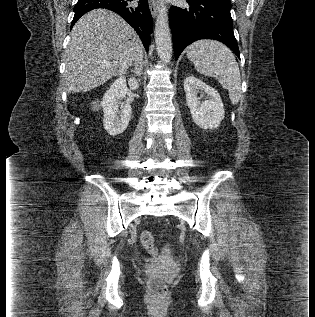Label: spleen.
<instances>
[{
	"label": "spleen",
	"instance_id": "spleen-1",
	"mask_svg": "<svg viewBox=\"0 0 315 317\" xmlns=\"http://www.w3.org/2000/svg\"><path fill=\"white\" fill-rule=\"evenodd\" d=\"M187 57L202 75L215 77L229 92L232 104L236 105L241 95V75L238 63L223 43L213 40H199L187 48Z\"/></svg>",
	"mask_w": 315,
	"mask_h": 317
}]
</instances>
